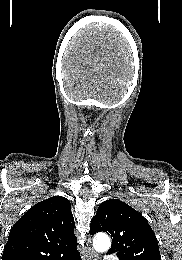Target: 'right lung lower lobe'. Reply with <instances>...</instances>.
I'll list each match as a JSON object with an SVG mask.
<instances>
[{
	"label": "right lung lower lobe",
	"instance_id": "right-lung-lower-lobe-1",
	"mask_svg": "<svg viewBox=\"0 0 182 260\" xmlns=\"http://www.w3.org/2000/svg\"><path fill=\"white\" fill-rule=\"evenodd\" d=\"M60 260H81L79 252L72 253L64 258H61Z\"/></svg>",
	"mask_w": 182,
	"mask_h": 260
}]
</instances>
